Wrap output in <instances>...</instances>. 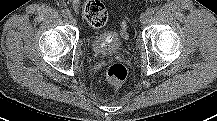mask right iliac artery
Segmentation results:
<instances>
[{
	"mask_svg": "<svg viewBox=\"0 0 217 121\" xmlns=\"http://www.w3.org/2000/svg\"><path fill=\"white\" fill-rule=\"evenodd\" d=\"M62 14L64 17H70L71 16V12L68 9L62 10Z\"/></svg>",
	"mask_w": 217,
	"mask_h": 121,
	"instance_id": "obj_1",
	"label": "right iliac artery"
}]
</instances>
